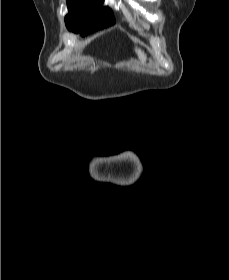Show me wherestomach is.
I'll return each instance as SVG.
<instances>
[{"label": "stomach", "mask_w": 229, "mask_h": 280, "mask_svg": "<svg viewBox=\"0 0 229 280\" xmlns=\"http://www.w3.org/2000/svg\"><path fill=\"white\" fill-rule=\"evenodd\" d=\"M145 65H147V66H149V67H152V66L154 65V62H153V60H151V59H147V60L145 61Z\"/></svg>", "instance_id": "obj_1"}]
</instances>
